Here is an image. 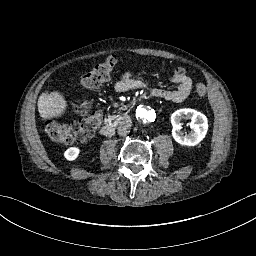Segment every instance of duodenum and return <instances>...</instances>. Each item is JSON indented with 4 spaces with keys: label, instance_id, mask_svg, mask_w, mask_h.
I'll return each instance as SVG.
<instances>
[{
    "label": "duodenum",
    "instance_id": "duodenum-1",
    "mask_svg": "<svg viewBox=\"0 0 256 256\" xmlns=\"http://www.w3.org/2000/svg\"><path fill=\"white\" fill-rule=\"evenodd\" d=\"M126 116H127V118L132 119V118H134L135 113H134V111L129 110V111H127V113H126ZM127 118H126V117H121V118H120V123H121V124H126V123H127ZM115 124H116V123H109V124L104 125V126L101 128V130H100V134H101L102 136H104V137H110V136H112V135L114 134Z\"/></svg>",
    "mask_w": 256,
    "mask_h": 256
}]
</instances>
